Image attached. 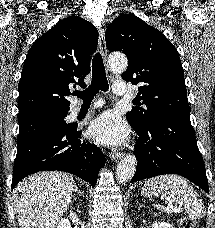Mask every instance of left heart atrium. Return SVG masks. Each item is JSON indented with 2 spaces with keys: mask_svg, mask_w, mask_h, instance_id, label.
I'll return each mask as SVG.
<instances>
[{
  "mask_svg": "<svg viewBox=\"0 0 215 228\" xmlns=\"http://www.w3.org/2000/svg\"><path fill=\"white\" fill-rule=\"evenodd\" d=\"M89 135L98 144L122 146L129 139V128L121 116L108 110L92 120Z\"/></svg>",
  "mask_w": 215,
  "mask_h": 228,
  "instance_id": "obj_1",
  "label": "left heart atrium"
}]
</instances>
